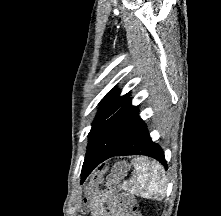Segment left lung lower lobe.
Listing matches in <instances>:
<instances>
[{
	"instance_id": "1",
	"label": "left lung lower lobe",
	"mask_w": 221,
	"mask_h": 216,
	"mask_svg": "<svg viewBox=\"0 0 221 216\" xmlns=\"http://www.w3.org/2000/svg\"><path fill=\"white\" fill-rule=\"evenodd\" d=\"M126 155H146L160 161L167 169L164 152L160 146L154 143L148 133L146 124L144 123L136 135L119 151H113L107 146H99L88 150L81 173V182L103 161L114 156Z\"/></svg>"
}]
</instances>
